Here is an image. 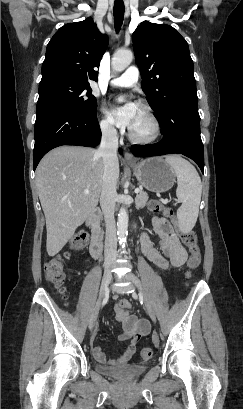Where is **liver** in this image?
<instances>
[{"instance_id":"1","label":"liver","mask_w":243,"mask_h":409,"mask_svg":"<svg viewBox=\"0 0 243 409\" xmlns=\"http://www.w3.org/2000/svg\"><path fill=\"white\" fill-rule=\"evenodd\" d=\"M115 167L119 175L118 159ZM103 171L102 157L92 148L60 146L41 159L35 182L46 219L49 256L62 250L97 206Z\"/></svg>"}]
</instances>
